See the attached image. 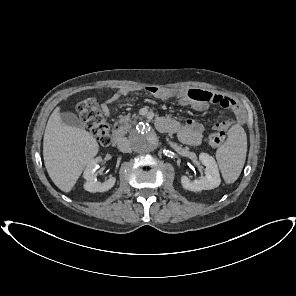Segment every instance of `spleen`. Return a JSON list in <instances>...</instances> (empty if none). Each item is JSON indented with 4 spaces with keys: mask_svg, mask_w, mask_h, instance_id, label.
<instances>
[{
    "mask_svg": "<svg viewBox=\"0 0 296 296\" xmlns=\"http://www.w3.org/2000/svg\"><path fill=\"white\" fill-rule=\"evenodd\" d=\"M247 153V136L236 124L227 133L226 141L216 151V159L226 183H234L243 169Z\"/></svg>",
    "mask_w": 296,
    "mask_h": 296,
    "instance_id": "spleen-1",
    "label": "spleen"
}]
</instances>
